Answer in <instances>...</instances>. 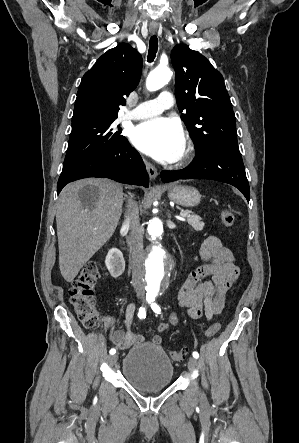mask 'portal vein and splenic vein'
Segmentation results:
<instances>
[{"label": "portal vein and splenic vein", "mask_w": 299, "mask_h": 443, "mask_svg": "<svg viewBox=\"0 0 299 443\" xmlns=\"http://www.w3.org/2000/svg\"><path fill=\"white\" fill-rule=\"evenodd\" d=\"M180 216H182V217H188V216H189V214H188V213H186V212H181V213H180Z\"/></svg>", "instance_id": "18ae733b"}]
</instances>
